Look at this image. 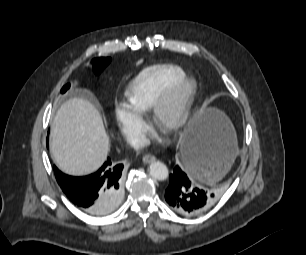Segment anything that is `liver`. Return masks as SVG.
<instances>
[{
	"mask_svg": "<svg viewBox=\"0 0 306 255\" xmlns=\"http://www.w3.org/2000/svg\"><path fill=\"white\" fill-rule=\"evenodd\" d=\"M51 138L54 162L61 171L73 176L96 171L110 149L99 111L83 98H72L61 105L51 125Z\"/></svg>",
	"mask_w": 306,
	"mask_h": 255,
	"instance_id": "1",
	"label": "liver"
}]
</instances>
